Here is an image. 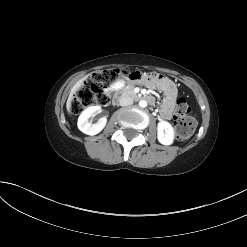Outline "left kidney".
Here are the masks:
<instances>
[{"label":"left kidney","instance_id":"5707ae66","mask_svg":"<svg viewBox=\"0 0 247 247\" xmlns=\"http://www.w3.org/2000/svg\"><path fill=\"white\" fill-rule=\"evenodd\" d=\"M157 138L163 145H171L174 141V129L169 122L160 121L157 126Z\"/></svg>","mask_w":247,"mask_h":247}]
</instances>
